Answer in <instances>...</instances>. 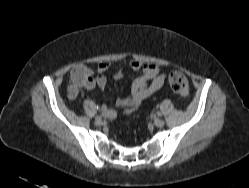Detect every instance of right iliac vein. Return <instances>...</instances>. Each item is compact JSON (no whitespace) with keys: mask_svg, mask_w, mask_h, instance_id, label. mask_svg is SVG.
Here are the masks:
<instances>
[{"mask_svg":"<svg viewBox=\"0 0 249 188\" xmlns=\"http://www.w3.org/2000/svg\"><path fill=\"white\" fill-rule=\"evenodd\" d=\"M95 124H96L97 126H100V125L103 124V121H102L101 119L95 120Z\"/></svg>","mask_w":249,"mask_h":188,"instance_id":"right-iliac-vein-1","label":"right iliac vein"}]
</instances>
